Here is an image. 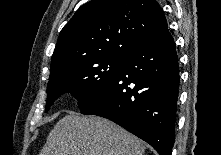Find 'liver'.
Masks as SVG:
<instances>
[{"mask_svg": "<svg viewBox=\"0 0 221 155\" xmlns=\"http://www.w3.org/2000/svg\"><path fill=\"white\" fill-rule=\"evenodd\" d=\"M141 140L115 123L70 113L47 137L40 155H143Z\"/></svg>", "mask_w": 221, "mask_h": 155, "instance_id": "obj_1", "label": "liver"}]
</instances>
